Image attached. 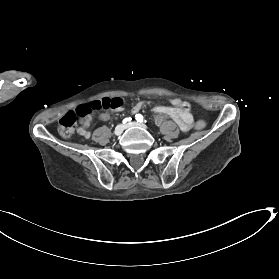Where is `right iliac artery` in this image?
I'll return each mask as SVG.
<instances>
[{
    "instance_id": "82829eb1",
    "label": "right iliac artery",
    "mask_w": 279,
    "mask_h": 279,
    "mask_svg": "<svg viewBox=\"0 0 279 279\" xmlns=\"http://www.w3.org/2000/svg\"><path fill=\"white\" fill-rule=\"evenodd\" d=\"M131 121V118L129 117V118H125L124 120H123V123L125 124V123H127V122H130Z\"/></svg>"
}]
</instances>
